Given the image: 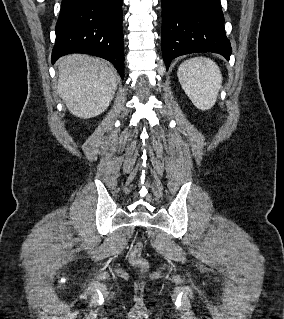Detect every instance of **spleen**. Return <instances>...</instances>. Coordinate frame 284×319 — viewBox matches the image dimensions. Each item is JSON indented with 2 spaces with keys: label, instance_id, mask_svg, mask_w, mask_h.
Segmentation results:
<instances>
[{
  "label": "spleen",
  "instance_id": "1",
  "mask_svg": "<svg viewBox=\"0 0 284 319\" xmlns=\"http://www.w3.org/2000/svg\"><path fill=\"white\" fill-rule=\"evenodd\" d=\"M177 75L183 90L198 109L213 107L222 84V74L214 61L205 57L191 58L179 66Z\"/></svg>",
  "mask_w": 284,
  "mask_h": 319
}]
</instances>
